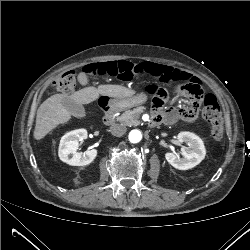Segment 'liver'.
I'll return each instance as SVG.
<instances>
[{
    "label": "liver",
    "instance_id": "liver-1",
    "mask_svg": "<svg viewBox=\"0 0 250 250\" xmlns=\"http://www.w3.org/2000/svg\"><path fill=\"white\" fill-rule=\"evenodd\" d=\"M135 94V90L121 85H99L98 88L86 87L71 95L55 94L46 99L38 108L34 138L40 140L60 124H65L71 119V114L63 107L61 101L69 97L80 104H89L99 95L108 97H128Z\"/></svg>",
    "mask_w": 250,
    "mask_h": 250
}]
</instances>
